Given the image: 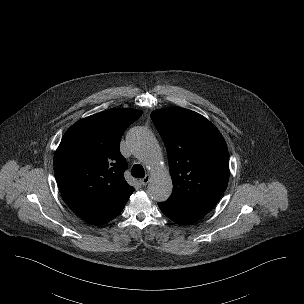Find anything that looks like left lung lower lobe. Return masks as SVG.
Wrapping results in <instances>:
<instances>
[{"label": "left lung lower lobe", "mask_w": 304, "mask_h": 304, "mask_svg": "<svg viewBox=\"0 0 304 304\" xmlns=\"http://www.w3.org/2000/svg\"><path fill=\"white\" fill-rule=\"evenodd\" d=\"M159 208L168 218L181 224H190L205 216L206 213L189 208L180 202L168 199L158 203Z\"/></svg>", "instance_id": "obj_1"}]
</instances>
